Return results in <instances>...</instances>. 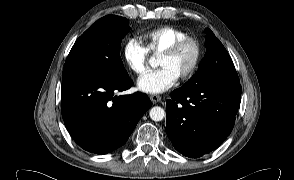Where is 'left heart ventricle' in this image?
<instances>
[{"label": "left heart ventricle", "mask_w": 294, "mask_h": 180, "mask_svg": "<svg viewBox=\"0 0 294 180\" xmlns=\"http://www.w3.org/2000/svg\"><path fill=\"white\" fill-rule=\"evenodd\" d=\"M193 58L194 49L191 45H187L172 57L160 56L158 66L170 69L180 78L191 66Z\"/></svg>", "instance_id": "b2bd125f"}]
</instances>
